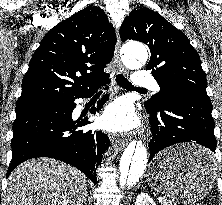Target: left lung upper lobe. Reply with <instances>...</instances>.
<instances>
[{"mask_svg":"<svg viewBox=\"0 0 222 205\" xmlns=\"http://www.w3.org/2000/svg\"><path fill=\"white\" fill-rule=\"evenodd\" d=\"M120 37L122 41L144 42L150 49L146 70H151L160 91L145 102L148 111H159L164 96L172 91L209 98L206 75L197 51L186 35L160 14L145 7L133 10L121 25Z\"/></svg>","mask_w":222,"mask_h":205,"instance_id":"left-lung-upper-lobe-1","label":"left lung upper lobe"}]
</instances>
